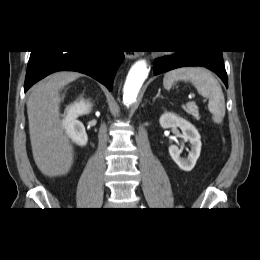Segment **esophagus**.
Returning <instances> with one entry per match:
<instances>
[{"instance_id":"esophagus-1","label":"esophagus","mask_w":260,"mask_h":260,"mask_svg":"<svg viewBox=\"0 0 260 260\" xmlns=\"http://www.w3.org/2000/svg\"><path fill=\"white\" fill-rule=\"evenodd\" d=\"M127 57L130 58V59H135V58L138 57V54L137 53H128Z\"/></svg>"}]
</instances>
